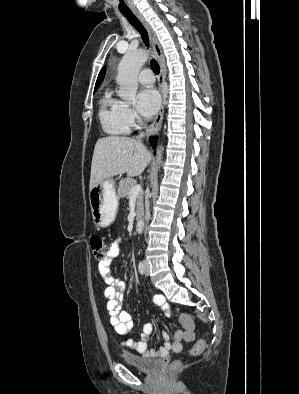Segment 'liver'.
Listing matches in <instances>:
<instances>
[{"label":"liver","mask_w":299,"mask_h":394,"mask_svg":"<svg viewBox=\"0 0 299 394\" xmlns=\"http://www.w3.org/2000/svg\"><path fill=\"white\" fill-rule=\"evenodd\" d=\"M151 153L131 137L107 136L97 140L91 163L90 189L113 176L140 175L151 161Z\"/></svg>","instance_id":"1"}]
</instances>
